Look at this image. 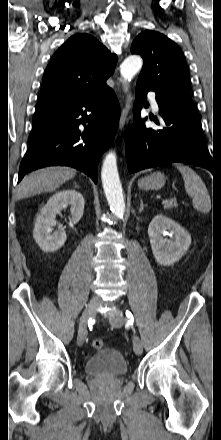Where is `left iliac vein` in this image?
Masks as SVG:
<instances>
[{
    "instance_id": "4c4485c4",
    "label": "left iliac vein",
    "mask_w": 221,
    "mask_h": 440,
    "mask_svg": "<svg viewBox=\"0 0 221 440\" xmlns=\"http://www.w3.org/2000/svg\"><path fill=\"white\" fill-rule=\"evenodd\" d=\"M109 321L114 327H120L123 325L125 319L120 314V312L116 310L113 314L109 316ZM133 349L137 355H141L143 352L142 342L137 335L133 336Z\"/></svg>"
}]
</instances>
